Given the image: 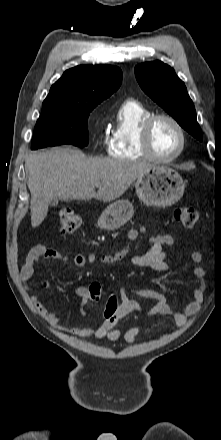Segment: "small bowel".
Instances as JSON below:
<instances>
[{
    "instance_id": "1",
    "label": "small bowel",
    "mask_w": 221,
    "mask_h": 440,
    "mask_svg": "<svg viewBox=\"0 0 221 440\" xmlns=\"http://www.w3.org/2000/svg\"><path fill=\"white\" fill-rule=\"evenodd\" d=\"M146 228L130 229L128 232V241L133 242L137 239L139 233H145ZM150 249L141 255H134L131 261L139 266L150 268L156 272H166L169 270V265L166 259L170 257V253L166 250L167 247L176 245V240L170 235H154L149 238ZM130 245H126L121 250L113 254H76L73 257V263L77 267H85L90 264L113 265L128 258ZM201 254L194 252L191 254L193 263L198 264L201 261ZM40 260H55L60 262H67L68 256L56 249L49 248L43 244H37L29 251L25 263L21 268V279L24 287L31 293L34 305L42 317H44L55 329L60 330L70 336L79 338H96L108 339L110 341H117L123 337L126 343L135 342L138 337L141 327L134 326L128 329L123 335L116 329L117 323L125 316L134 313L142 312L140 303L131 299L129 295H136L147 299L157 301L155 307L146 312V315H162L169 317L177 326H184L189 315L195 314L199 311L203 294L206 287V273L202 267L194 266L192 273L200 281V286L192 291V301L188 303L182 311H175L167 302L165 296L154 290H134L122 288L119 292V306L114 312L113 321H102V323L95 329L89 327H71L66 328L60 325L61 318L59 314L48 311L45 304L38 299L34 293V285L31 281L36 264ZM40 285L45 288L52 286V281L43 279ZM91 285V284H90ZM90 285H77L72 289L74 295L81 299L80 311L84 315H88V295Z\"/></svg>"
}]
</instances>
